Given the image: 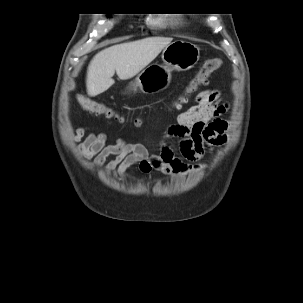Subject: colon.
Returning a JSON list of instances; mask_svg holds the SVG:
<instances>
[{
  "mask_svg": "<svg viewBox=\"0 0 303 303\" xmlns=\"http://www.w3.org/2000/svg\"><path fill=\"white\" fill-rule=\"evenodd\" d=\"M222 65L220 59L213 58L206 60L198 73L189 81L183 93L172 104L173 109L180 108L195 91L208 82L210 75ZM78 105L85 111L105 115L107 118L118 122H125V118L117 113L115 109L109 106L107 102L91 97H78Z\"/></svg>",
  "mask_w": 303,
  "mask_h": 303,
  "instance_id": "obj_1",
  "label": "colon"
}]
</instances>
